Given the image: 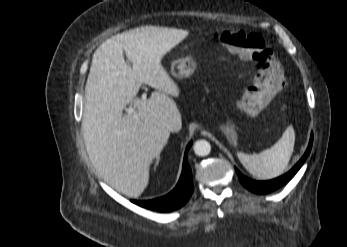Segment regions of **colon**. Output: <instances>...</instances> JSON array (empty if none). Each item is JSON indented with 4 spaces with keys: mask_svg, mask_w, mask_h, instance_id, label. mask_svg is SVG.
Segmentation results:
<instances>
[{
    "mask_svg": "<svg viewBox=\"0 0 347 247\" xmlns=\"http://www.w3.org/2000/svg\"><path fill=\"white\" fill-rule=\"evenodd\" d=\"M213 38L229 52L253 65V86L245 90L244 96L238 99L237 106L242 111L257 113L269 97L285 85L284 71L275 58L273 49L265 44L259 34L243 30L218 31Z\"/></svg>",
    "mask_w": 347,
    "mask_h": 247,
    "instance_id": "1",
    "label": "colon"
}]
</instances>
